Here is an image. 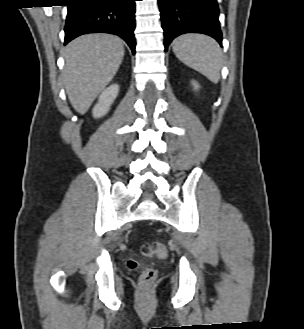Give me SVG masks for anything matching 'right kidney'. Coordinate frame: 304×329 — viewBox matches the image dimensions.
I'll use <instances>...</instances> for the list:
<instances>
[{
	"mask_svg": "<svg viewBox=\"0 0 304 329\" xmlns=\"http://www.w3.org/2000/svg\"><path fill=\"white\" fill-rule=\"evenodd\" d=\"M119 86L117 84L111 85L105 89L99 96L98 103L93 108V117L100 118L107 114L113 101L117 97Z\"/></svg>",
	"mask_w": 304,
	"mask_h": 329,
	"instance_id": "ca27d5eb",
	"label": "right kidney"
}]
</instances>
